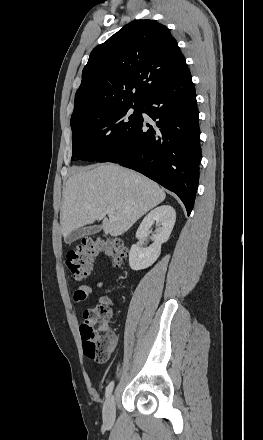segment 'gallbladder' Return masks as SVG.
Returning a JSON list of instances; mask_svg holds the SVG:
<instances>
[{
  "mask_svg": "<svg viewBox=\"0 0 263 440\" xmlns=\"http://www.w3.org/2000/svg\"><path fill=\"white\" fill-rule=\"evenodd\" d=\"M100 230H101V226H99V225H94V226H90V227H83V228L77 229V230L71 232L65 238V243L71 244L74 241L78 240L79 238H81V237H83L85 235L96 234Z\"/></svg>",
  "mask_w": 263,
  "mask_h": 440,
  "instance_id": "bac80fb5",
  "label": "gallbladder"
}]
</instances>
